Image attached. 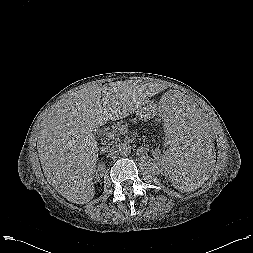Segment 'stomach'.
<instances>
[{
  "mask_svg": "<svg viewBox=\"0 0 253 253\" xmlns=\"http://www.w3.org/2000/svg\"><path fill=\"white\" fill-rule=\"evenodd\" d=\"M136 116L142 121H147L155 116V108L152 104L145 103L136 110Z\"/></svg>",
  "mask_w": 253,
  "mask_h": 253,
  "instance_id": "obj_1",
  "label": "stomach"
}]
</instances>
